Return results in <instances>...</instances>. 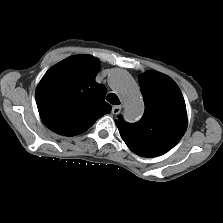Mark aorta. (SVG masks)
I'll return each mask as SVG.
<instances>
[{
    "mask_svg": "<svg viewBox=\"0 0 223 223\" xmlns=\"http://www.w3.org/2000/svg\"><path fill=\"white\" fill-rule=\"evenodd\" d=\"M109 82L124 101V118L128 122L138 121L144 113V102L138 85L124 69H114Z\"/></svg>",
    "mask_w": 223,
    "mask_h": 223,
    "instance_id": "aorta-1",
    "label": "aorta"
}]
</instances>
